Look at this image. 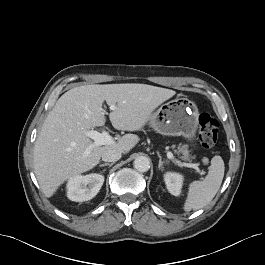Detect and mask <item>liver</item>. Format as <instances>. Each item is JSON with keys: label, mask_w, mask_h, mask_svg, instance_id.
<instances>
[{"label": "liver", "mask_w": 265, "mask_h": 265, "mask_svg": "<svg viewBox=\"0 0 265 265\" xmlns=\"http://www.w3.org/2000/svg\"><path fill=\"white\" fill-rule=\"evenodd\" d=\"M176 94L174 90L147 84H94L70 89L47 115L36 139L33 153L34 172L42 192L51 197L66 180L95 167L104 151L128 153L139 141L125 134L111 145L93 147L83 131L106 122L104 101L115 109L109 114L112 126L122 131H138L152 112Z\"/></svg>", "instance_id": "obj_1"}]
</instances>
